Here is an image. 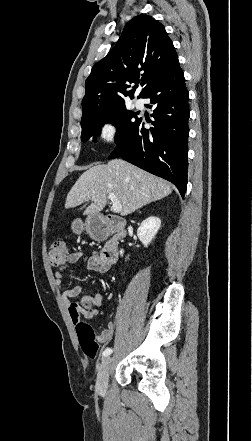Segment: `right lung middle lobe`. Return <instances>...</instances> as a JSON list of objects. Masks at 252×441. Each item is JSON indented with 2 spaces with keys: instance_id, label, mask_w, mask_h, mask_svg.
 <instances>
[{
  "instance_id": "dd1d6c3e",
  "label": "right lung middle lobe",
  "mask_w": 252,
  "mask_h": 441,
  "mask_svg": "<svg viewBox=\"0 0 252 441\" xmlns=\"http://www.w3.org/2000/svg\"><path fill=\"white\" fill-rule=\"evenodd\" d=\"M137 120L138 118L136 117V114L126 110L125 105L104 111L81 124V139L85 142L93 136V139L95 140V137L99 136L101 133V127L105 123H112L115 126H118L115 143L119 144L128 136Z\"/></svg>"
}]
</instances>
